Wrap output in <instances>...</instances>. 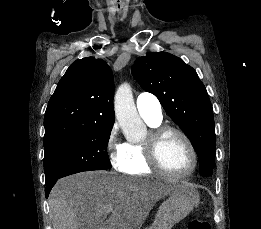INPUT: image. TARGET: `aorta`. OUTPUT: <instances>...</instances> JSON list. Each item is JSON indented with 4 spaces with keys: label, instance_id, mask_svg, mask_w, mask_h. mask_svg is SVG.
<instances>
[{
    "label": "aorta",
    "instance_id": "1",
    "mask_svg": "<svg viewBox=\"0 0 261 229\" xmlns=\"http://www.w3.org/2000/svg\"><path fill=\"white\" fill-rule=\"evenodd\" d=\"M115 117L127 139H143L146 127L139 119L130 84L124 82L114 96Z\"/></svg>",
    "mask_w": 261,
    "mask_h": 229
}]
</instances>
